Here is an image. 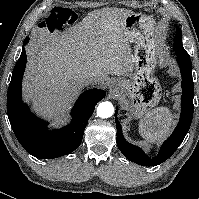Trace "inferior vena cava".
Here are the masks:
<instances>
[{"instance_id":"1","label":"inferior vena cava","mask_w":199,"mask_h":199,"mask_svg":"<svg viewBox=\"0 0 199 199\" xmlns=\"http://www.w3.org/2000/svg\"><path fill=\"white\" fill-rule=\"evenodd\" d=\"M82 83L84 84V85H89V84H94V83H96L97 82V79L95 78V77H93V76H85L82 80Z\"/></svg>"}]
</instances>
